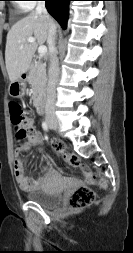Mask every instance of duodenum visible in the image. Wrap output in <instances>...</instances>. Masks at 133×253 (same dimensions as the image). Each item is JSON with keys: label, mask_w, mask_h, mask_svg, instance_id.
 <instances>
[{"label": "duodenum", "mask_w": 133, "mask_h": 253, "mask_svg": "<svg viewBox=\"0 0 133 253\" xmlns=\"http://www.w3.org/2000/svg\"><path fill=\"white\" fill-rule=\"evenodd\" d=\"M20 78H29V73H20ZM44 89V86L43 85H38L37 88L35 89V92L37 93L36 94V97L38 98L36 100V108H37V111L39 114H42L44 112V109H45V104H44V101L40 98L43 97V94L41 93L42 90Z\"/></svg>", "instance_id": "1"}]
</instances>
